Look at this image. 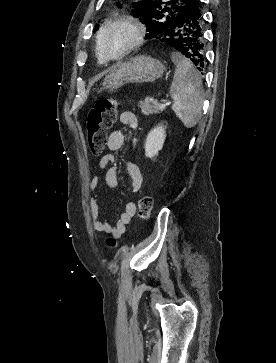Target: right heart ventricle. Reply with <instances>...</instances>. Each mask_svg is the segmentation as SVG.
Instances as JSON below:
<instances>
[{
  "label": "right heart ventricle",
  "instance_id": "1",
  "mask_svg": "<svg viewBox=\"0 0 276 363\" xmlns=\"http://www.w3.org/2000/svg\"><path fill=\"white\" fill-rule=\"evenodd\" d=\"M108 23L109 22H106L105 23V25H104V27L102 28V30L108 25ZM102 30H101V32H102ZM100 32V33H101ZM100 35V34H99ZM99 36H98V41H97V47H96V53H97V58H98V62H100V63H103V59H102V57H101V54H100V51H99Z\"/></svg>",
  "mask_w": 276,
  "mask_h": 363
}]
</instances>
